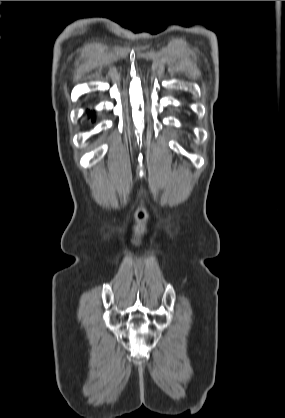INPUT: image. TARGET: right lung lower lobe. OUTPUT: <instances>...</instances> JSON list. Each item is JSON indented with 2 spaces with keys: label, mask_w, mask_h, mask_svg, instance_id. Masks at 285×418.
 <instances>
[{
  "label": "right lung lower lobe",
  "mask_w": 285,
  "mask_h": 418,
  "mask_svg": "<svg viewBox=\"0 0 285 418\" xmlns=\"http://www.w3.org/2000/svg\"><path fill=\"white\" fill-rule=\"evenodd\" d=\"M88 117L91 118L92 121H94V115L92 114V111H88Z\"/></svg>",
  "instance_id": "right-lung-lower-lobe-1"
}]
</instances>
